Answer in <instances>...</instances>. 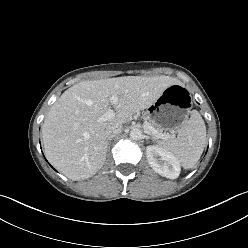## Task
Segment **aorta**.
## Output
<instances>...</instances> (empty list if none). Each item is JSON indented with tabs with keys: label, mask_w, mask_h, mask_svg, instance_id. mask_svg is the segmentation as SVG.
<instances>
[{
	"label": "aorta",
	"mask_w": 248,
	"mask_h": 248,
	"mask_svg": "<svg viewBox=\"0 0 248 248\" xmlns=\"http://www.w3.org/2000/svg\"><path fill=\"white\" fill-rule=\"evenodd\" d=\"M129 135H130V138L132 140H135V141L140 140L142 138V136H143L142 131L140 129H138V128L132 129L130 131Z\"/></svg>",
	"instance_id": "762f6f07"
}]
</instances>
